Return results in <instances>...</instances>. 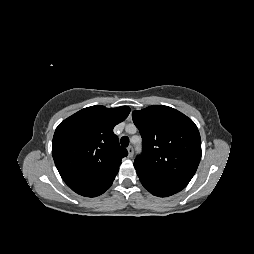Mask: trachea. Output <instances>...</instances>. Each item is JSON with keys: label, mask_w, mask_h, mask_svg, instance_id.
Here are the masks:
<instances>
[{"label": "trachea", "mask_w": 254, "mask_h": 254, "mask_svg": "<svg viewBox=\"0 0 254 254\" xmlns=\"http://www.w3.org/2000/svg\"><path fill=\"white\" fill-rule=\"evenodd\" d=\"M120 143L123 147H127L129 145V138L127 136H123Z\"/></svg>", "instance_id": "3493384b"}]
</instances>
